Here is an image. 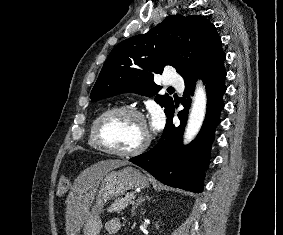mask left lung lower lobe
<instances>
[{"instance_id": "1", "label": "left lung lower lobe", "mask_w": 283, "mask_h": 235, "mask_svg": "<svg viewBox=\"0 0 283 235\" xmlns=\"http://www.w3.org/2000/svg\"><path fill=\"white\" fill-rule=\"evenodd\" d=\"M200 76L206 84L207 111L203 126L195 140L187 146L182 145V135L197 77L184 81L186 99L182 102L185 109L178 113L180 125L178 127L173 125V108L157 145L150 151L129 160L148 171L160 182L194 193L202 192L204 171L209 164L215 128L220 123L219 115L224 107L222 100L226 91L224 62Z\"/></svg>"}]
</instances>
